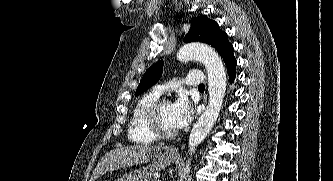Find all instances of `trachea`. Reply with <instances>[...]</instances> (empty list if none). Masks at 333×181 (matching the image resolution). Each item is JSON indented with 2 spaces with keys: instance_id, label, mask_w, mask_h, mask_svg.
Masks as SVG:
<instances>
[{
  "instance_id": "3493384b",
  "label": "trachea",
  "mask_w": 333,
  "mask_h": 181,
  "mask_svg": "<svg viewBox=\"0 0 333 181\" xmlns=\"http://www.w3.org/2000/svg\"><path fill=\"white\" fill-rule=\"evenodd\" d=\"M198 89H205V85H204V84H200V85L198 86Z\"/></svg>"
}]
</instances>
